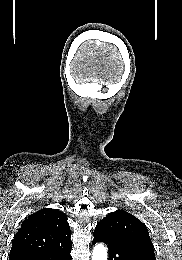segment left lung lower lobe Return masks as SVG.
Here are the masks:
<instances>
[{"instance_id":"1","label":"left lung lower lobe","mask_w":182,"mask_h":260,"mask_svg":"<svg viewBox=\"0 0 182 260\" xmlns=\"http://www.w3.org/2000/svg\"><path fill=\"white\" fill-rule=\"evenodd\" d=\"M92 244L103 242L108 247V260H156L154 251L112 233L95 229Z\"/></svg>"}]
</instances>
